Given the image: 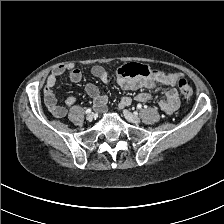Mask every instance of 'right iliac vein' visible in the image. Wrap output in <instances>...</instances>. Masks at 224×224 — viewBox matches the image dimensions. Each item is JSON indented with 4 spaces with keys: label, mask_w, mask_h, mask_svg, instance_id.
Here are the masks:
<instances>
[{
    "label": "right iliac vein",
    "mask_w": 224,
    "mask_h": 224,
    "mask_svg": "<svg viewBox=\"0 0 224 224\" xmlns=\"http://www.w3.org/2000/svg\"><path fill=\"white\" fill-rule=\"evenodd\" d=\"M86 119H87L89 122L93 121V119H94V115H93V113L88 114L87 117H86Z\"/></svg>",
    "instance_id": "right-iliac-vein-1"
}]
</instances>
